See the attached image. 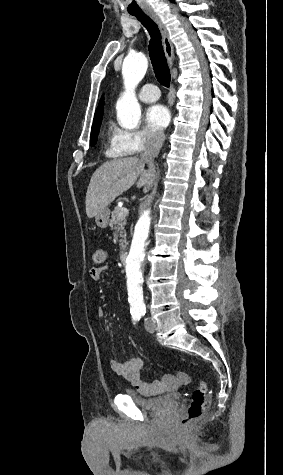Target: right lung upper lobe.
I'll return each instance as SVG.
<instances>
[{
    "mask_svg": "<svg viewBox=\"0 0 283 475\" xmlns=\"http://www.w3.org/2000/svg\"><path fill=\"white\" fill-rule=\"evenodd\" d=\"M101 105H104V97L103 96L101 97L98 106H101Z\"/></svg>",
    "mask_w": 283,
    "mask_h": 475,
    "instance_id": "cb5924a9",
    "label": "right lung upper lobe"
}]
</instances>
